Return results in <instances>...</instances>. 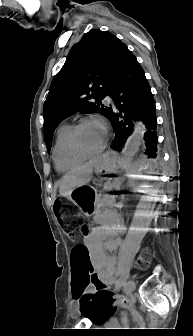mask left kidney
<instances>
[{"label":"left kidney","mask_w":193,"mask_h":336,"mask_svg":"<svg viewBox=\"0 0 193 336\" xmlns=\"http://www.w3.org/2000/svg\"><path fill=\"white\" fill-rule=\"evenodd\" d=\"M146 201H147V197L144 196V197L141 198V204L142 205H144Z\"/></svg>","instance_id":"1"}]
</instances>
